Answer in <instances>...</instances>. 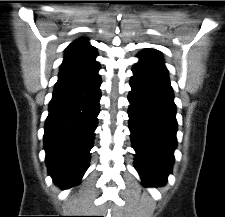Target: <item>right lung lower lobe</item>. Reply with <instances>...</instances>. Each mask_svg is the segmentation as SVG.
<instances>
[{"label":"right lung lower lobe","mask_w":225,"mask_h":217,"mask_svg":"<svg viewBox=\"0 0 225 217\" xmlns=\"http://www.w3.org/2000/svg\"><path fill=\"white\" fill-rule=\"evenodd\" d=\"M100 76L55 86L45 123L44 149L49 174L64 189L77 185L87 170L100 111Z\"/></svg>","instance_id":"obj_1"}]
</instances>
